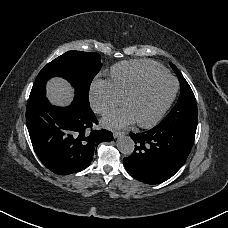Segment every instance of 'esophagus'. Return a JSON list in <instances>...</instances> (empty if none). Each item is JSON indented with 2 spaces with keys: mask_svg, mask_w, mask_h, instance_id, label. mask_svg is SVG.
<instances>
[{
  "mask_svg": "<svg viewBox=\"0 0 228 228\" xmlns=\"http://www.w3.org/2000/svg\"><path fill=\"white\" fill-rule=\"evenodd\" d=\"M124 134H125V132H123V131H115L113 133V136H114V138H118L119 136H123Z\"/></svg>",
  "mask_w": 228,
  "mask_h": 228,
  "instance_id": "1",
  "label": "esophagus"
}]
</instances>
